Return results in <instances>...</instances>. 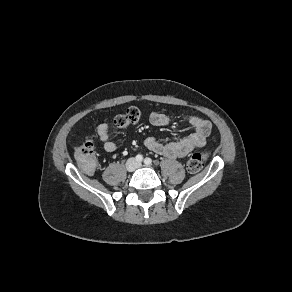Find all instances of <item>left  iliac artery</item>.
Returning <instances> with one entry per match:
<instances>
[{
	"mask_svg": "<svg viewBox=\"0 0 292 292\" xmlns=\"http://www.w3.org/2000/svg\"><path fill=\"white\" fill-rule=\"evenodd\" d=\"M144 163L146 165H151L152 164V159L147 157V158L144 159Z\"/></svg>",
	"mask_w": 292,
	"mask_h": 292,
	"instance_id": "obj_1",
	"label": "left iliac artery"
}]
</instances>
